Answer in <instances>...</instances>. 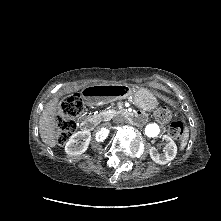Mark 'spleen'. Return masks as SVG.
I'll use <instances>...</instances> for the list:
<instances>
[{"instance_id": "1", "label": "spleen", "mask_w": 221, "mask_h": 221, "mask_svg": "<svg viewBox=\"0 0 221 221\" xmlns=\"http://www.w3.org/2000/svg\"><path fill=\"white\" fill-rule=\"evenodd\" d=\"M188 135L186 134V136L184 137V142H186Z\"/></svg>"}]
</instances>
